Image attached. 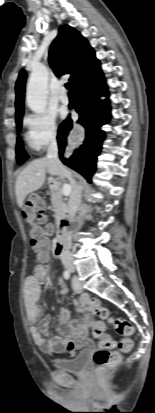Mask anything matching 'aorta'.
Instances as JSON below:
<instances>
[{"mask_svg": "<svg viewBox=\"0 0 155 413\" xmlns=\"http://www.w3.org/2000/svg\"><path fill=\"white\" fill-rule=\"evenodd\" d=\"M48 73L44 66H38L31 72L26 92V102L34 113H42L47 104Z\"/></svg>", "mask_w": 155, "mask_h": 413, "instance_id": "obj_1", "label": "aorta"}]
</instances>
